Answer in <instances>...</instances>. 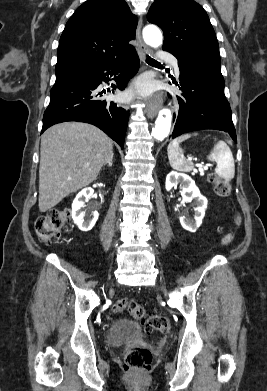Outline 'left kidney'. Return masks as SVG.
Listing matches in <instances>:
<instances>
[{"label":"left kidney","instance_id":"5707ae66","mask_svg":"<svg viewBox=\"0 0 267 391\" xmlns=\"http://www.w3.org/2000/svg\"><path fill=\"white\" fill-rule=\"evenodd\" d=\"M178 183H180L182 189V203L194 200L195 204V220L190 221L184 216H181L179 218L180 223L184 229L190 232H195L202 223L208 201L203 195H201L198 187L195 185V182L191 179V177L183 173H177L175 171L170 172L166 177V190L170 191ZM175 210L178 211V208H175Z\"/></svg>","mask_w":267,"mask_h":391}]
</instances>
